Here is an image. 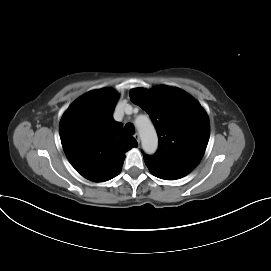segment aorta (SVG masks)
Masks as SVG:
<instances>
[{
  "label": "aorta",
  "instance_id": "aorta-1",
  "mask_svg": "<svg viewBox=\"0 0 271 271\" xmlns=\"http://www.w3.org/2000/svg\"><path fill=\"white\" fill-rule=\"evenodd\" d=\"M142 148L147 154H153L158 147V137L154 126L147 117L137 120Z\"/></svg>",
  "mask_w": 271,
  "mask_h": 271
}]
</instances>
